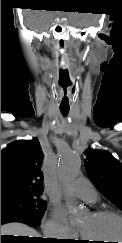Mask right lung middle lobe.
<instances>
[{
  "label": "right lung middle lobe",
  "mask_w": 122,
  "mask_h": 243,
  "mask_svg": "<svg viewBox=\"0 0 122 243\" xmlns=\"http://www.w3.org/2000/svg\"><path fill=\"white\" fill-rule=\"evenodd\" d=\"M1 208L22 211L41 220L46 209V202L36 195H12L1 197Z\"/></svg>",
  "instance_id": "dd1d6c3e"
}]
</instances>
